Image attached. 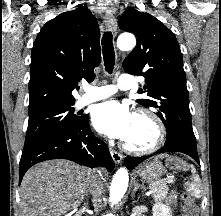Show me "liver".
<instances>
[{"mask_svg": "<svg viewBox=\"0 0 221 216\" xmlns=\"http://www.w3.org/2000/svg\"><path fill=\"white\" fill-rule=\"evenodd\" d=\"M88 171L68 160L36 164L20 186L22 216H61L78 207L87 191Z\"/></svg>", "mask_w": 221, "mask_h": 216, "instance_id": "6515ba94", "label": "liver"}]
</instances>
